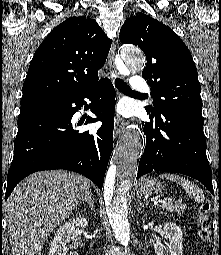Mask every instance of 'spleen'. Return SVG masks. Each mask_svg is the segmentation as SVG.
<instances>
[{"label": "spleen", "instance_id": "obj_1", "mask_svg": "<svg viewBox=\"0 0 221 255\" xmlns=\"http://www.w3.org/2000/svg\"><path fill=\"white\" fill-rule=\"evenodd\" d=\"M161 178H165L167 180H170L171 182H175L179 185H181L185 191L192 197L194 200L198 203L204 201V195L202 190L196 186L194 183L190 182L186 178H183L181 176H178L176 174H162Z\"/></svg>", "mask_w": 221, "mask_h": 255}]
</instances>
